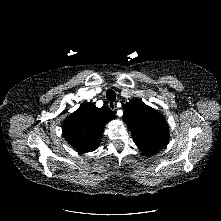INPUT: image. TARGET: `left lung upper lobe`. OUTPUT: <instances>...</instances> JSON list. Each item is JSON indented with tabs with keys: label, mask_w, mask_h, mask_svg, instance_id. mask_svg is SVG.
<instances>
[{
	"label": "left lung upper lobe",
	"mask_w": 221,
	"mask_h": 221,
	"mask_svg": "<svg viewBox=\"0 0 221 221\" xmlns=\"http://www.w3.org/2000/svg\"><path fill=\"white\" fill-rule=\"evenodd\" d=\"M123 120L131 131L137 147L148 156L156 154L169 139L165 118L138 99L124 105Z\"/></svg>",
	"instance_id": "obj_1"
}]
</instances>
